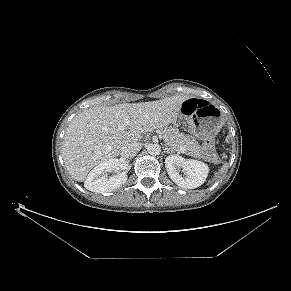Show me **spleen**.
I'll use <instances>...</instances> for the list:
<instances>
[{
    "instance_id": "1",
    "label": "spleen",
    "mask_w": 291,
    "mask_h": 291,
    "mask_svg": "<svg viewBox=\"0 0 291 291\" xmlns=\"http://www.w3.org/2000/svg\"><path fill=\"white\" fill-rule=\"evenodd\" d=\"M226 167H227V164L225 163V164L221 167V169L219 170V173H217V175L215 176V178H217V176H218L219 174L223 173L224 170L226 169Z\"/></svg>"
}]
</instances>
